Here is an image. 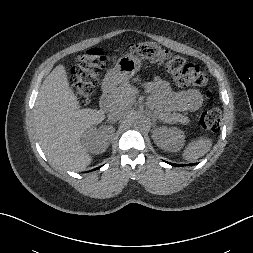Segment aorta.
Wrapping results in <instances>:
<instances>
[{
    "instance_id": "aorta-1",
    "label": "aorta",
    "mask_w": 253,
    "mask_h": 253,
    "mask_svg": "<svg viewBox=\"0 0 253 253\" xmlns=\"http://www.w3.org/2000/svg\"><path fill=\"white\" fill-rule=\"evenodd\" d=\"M133 121L135 124H143L146 122V117H145V115H143L139 112H136L133 115Z\"/></svg>"
}]
</instances>
